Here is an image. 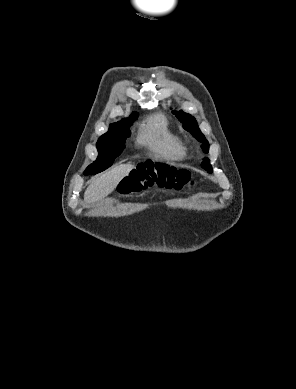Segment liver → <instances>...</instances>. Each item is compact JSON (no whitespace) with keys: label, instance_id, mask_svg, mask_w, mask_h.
Wrapping results in <instances>:
<instances>
[{"label":"liver","instance_id":"liver-1","mask_svg":"<svg viewBox=\"0 0 296 389\" xmlns=\"http://www.w3.org/2000/svg\"><path fill=\"white\" fill-rule=\"evenodd\" d=\"M134 168V165L121 164L93 179L84 193V201L92 204L102 200L112 193L119 182Z\"/></svg>","mask_w":296,"mask_h":389}]
</instances>
